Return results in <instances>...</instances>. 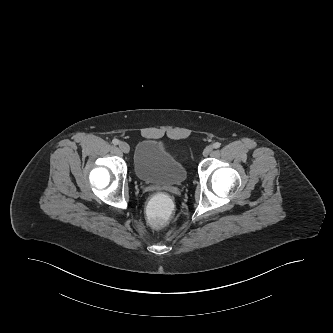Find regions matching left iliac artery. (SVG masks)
Returning <instances> with one entry per match:
<instances>
[{
	"label": "left iliac artery",
	"mask_w": 333,
	"mask_h": 333,
	"mask_svg": "<svg viewBox=\"0 0 333 333\" xmlns=\"http://www.w3.org/2000/svg\"><path fill=\"white\" fill-rule=\"evenodd\" d=\"M220 146H221V144L219 142H215L213 144V148H215V149H218Z\"/></svg>",
	"instance_id": "44dca946"
}]
</instances>
